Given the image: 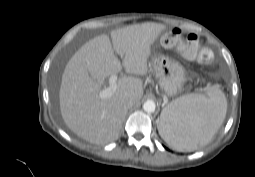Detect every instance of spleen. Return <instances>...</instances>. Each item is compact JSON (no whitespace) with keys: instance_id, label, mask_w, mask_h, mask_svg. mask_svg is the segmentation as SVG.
I'll return each instance as SVG.
<instances>
[{"instance_id":"spleen-1","label":"spleen","mask_w":255,"mask_h":177,"mask_svg":"<svg viewBox=\"0 0 255 177\" xmlns=\"http://www.w3.org/2000/svg\"><path fill=\"white\" fill-rule=\"evenodd\" d=\"M227 100L218 88L208 96L189 94L172 101L161 113L159 132L177 151H191L207 145L222 125Z\"/></svg>"}]
</instances>
